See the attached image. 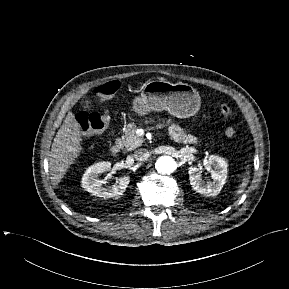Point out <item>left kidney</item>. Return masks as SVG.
I'll return each mask as SVG.
<instances>
[{
	"label": "left kidney",
	"instance_id": "left-kidney-1",
	"mask_svg": "<svg viewBox=\"0 0 289 289\" xmlns=\"http://www.w3.org/2000/svg\"><path fill=\"white\" fill-rule=\"evenodd\" d=\"M211 173L212 181L205 182L201 178V171L197 167H189V180L192 188L205 196H216L220 193L227 178V162L224 158L211 155L205 163ZM213 167V168H212Z\"/></svg>",
	"mask_w": 289,
	"mask_h": 289
}]
</instances>
